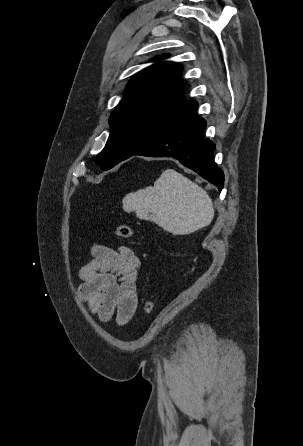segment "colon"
<instances>
[{
  "label": "colon",
  "mask_w": 303,
  "mask_h": 446,
  "mask_svg": "<svg viewBox=\"0 0 303 446\" xmlns=\"http://www.w3.org/2000/svg\"><path fill=\"white\" fill-rule=\"evenodd\" d=\"M116 234L122 239H130L133 236V229L126 224H120L116 227ZM155 309V303L152 300H147L144 303L143 310L146 314H150Z\"/></svg>",
  "instance_id": "obj_1"
}]
</instances>
